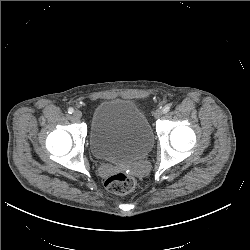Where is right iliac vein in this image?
Instances as JSON below:
<instances>
[{
    "label": "right iliac vein",
    "mask_w": 250,
    "mask_h": 250,
    "mask_svg": "<svg viewBox=\"0 0 250 250\" xmlns=\"http://www.w3.org/2000/svg\"><path fill=\"white\" fill-rule=\"evenodd\" d=\"M73 117L77 120L80 119L82 117V112L80 110H75L73 112Z\"/></svg>",
    "instance_id": "obj_1"
}]
</instances>
